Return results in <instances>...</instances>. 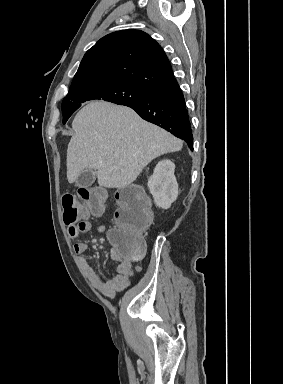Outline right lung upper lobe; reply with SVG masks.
I'll return each mask as SVG.
<instances>
[{
  "label": "right lung upper lobe",
  "instance_id": "obj_1",
  "mask_svg": "<svg viewBox=\"0 0 283 384\" xmlns=\"http://www.w3.org/2000/svg\"><path fill=\"white\" fill-rule=\"evenodd\" d=\"M174 77L162 47L140 30L101 38L84 55L70 89L120 82L151 90Z\"/></svg>",
  "mask_w": 283,
  "mask_h": 384
}]
</instances>
